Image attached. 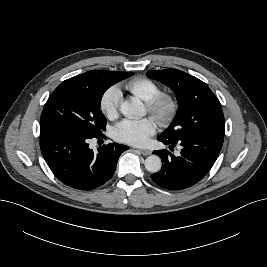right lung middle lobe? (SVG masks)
I'll use <instances>...</instances> for the list:
<instances>
[{
  "mask_svg": "<svg viewBox=\"0 0 267 267\" xmlns=\"http://www.w3.org/2000/svg\"><path fill=\"white\" fill-rule=\"evenodd\" d=\"M133 74L109 71L105 77L88 82L65 80L48 98L40 123L49 122L89 137L99 136L106 126V119L100 110L104 92Z\"/></svg>",
  "mask_w": 267,
  "mask_h": 267,
  "instance_id": "1",
  "label": "right lung middle lobe"
}]
</instances>
